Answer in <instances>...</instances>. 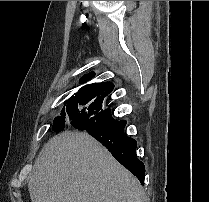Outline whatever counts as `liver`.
I'll return each instance as SVG.
<instances>
[{
    "instance_id": "6515ba94",
    "label": "liver",
    "mask_w": 209,
    "mask_h": 202,
    "mask_svg": "<svg viewBox=\"0 0 209 202\" xmlns=\"http://www.w3.org/2000/svg\"><path fill=\"white\" fill-rule=\"evenodd\" d=\"M32 202H145L138 180L90 135L50 139L29 176Z\"/></svg>"
}]
</instances>
